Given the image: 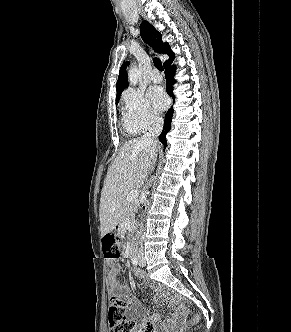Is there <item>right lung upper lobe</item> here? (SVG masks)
Here are the masks:
<instances>
[{
  "instance_id": "1",
  "label": "right lung upper lobe",
  "mask_w": 291,
  "mask_h": 332,
  "mask_svg": "<svg viewBox=\"0 0 291 332\" xmlns=\"http://www.w3.org/2000/svg\"><path fill=\"white\" fill-rule=\"evenodd\" d=\"M141 37L148 43L157 53L167 54L169 59L164 62V65L169 63L174 58V53L170 50L168 43L162 42L161 33L158 32L149 22L143 21L140 25ZM128 86V79L126 73V63L123 64L119 71V76L116 84V101H119L122 91Z\"/></svg>"
}]
</instances>
